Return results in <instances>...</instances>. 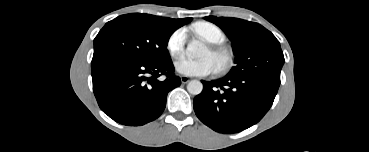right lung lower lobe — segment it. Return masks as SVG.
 Segmentation results:
<instances>
[{"label":"right lung lower lobe","instance_id":"right-lung-lower-lobe-1","mask_svg":"<svg viewBox=\"0 0 369 152\" xmlns=\"http://www.w3.org/2000/svg\"><path fill=\"white\" fill-rule=\"evenodd\" d=\"M171 58L143 63L115 59L92 67L93 91L101 110L114 121L138 126L158 118L169 91L181 84ZM166 75L164 81L158 80Z\"/></svg>","mask_w":369,"mask_h":152}]
</instances>
